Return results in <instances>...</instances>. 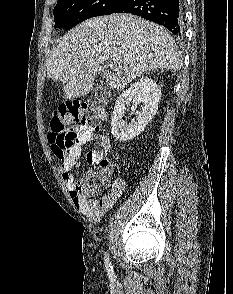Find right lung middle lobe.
Wrapping results in <instances>:
<instances>
[{
    "instance_id": "right-lung-middle-lobe-1",
    "label": "right lung middle lobe",
    "mask_w": 233,
    "mask_h": 294,
    "mask_svg": "<svg viewBox=\"0 0 233 294\" xmlns=\"http://www.w3.org/2000/svg\"><path fill=\"white\" fill-rule=\"evenodd\" d=\"M123 0H58L54 7V28L71 29L96 16L109 15Z\"/></svg>"
}]
</instances>
